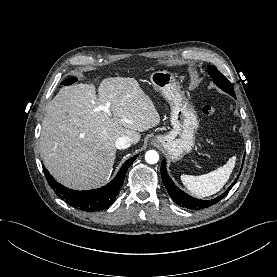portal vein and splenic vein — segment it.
<instances>
[{"mask_svg": "<svg viewBox=\"0 0 277 277\" xmlns=\"http://www.w3.org/2000/svg\"><path fill=\"white\" fill-rule=\"evenodd\" d=\"M109 106H110V104L108 103L105 106H99L97 108V110H102V111H105V112H109Z\"/></svg>", "mask_w": 277, "mask_h": 277, "instance_id": "18ae733b", "label": "portal vein and splenic vein"}]
</instances>
